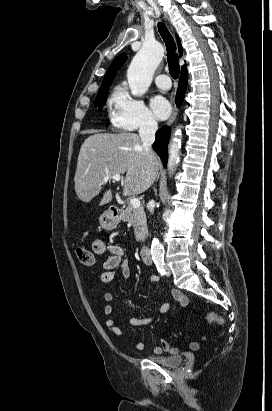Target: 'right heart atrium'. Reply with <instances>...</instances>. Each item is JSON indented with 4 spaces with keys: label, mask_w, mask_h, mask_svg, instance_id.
I'll use <instances>...</instances> for the list:
<instances>
[{
    "label": "right heart atrium",
    "mask_w": 272,
    "mask_h": 411,
    "mask_svg": "<svg viewBox=\"0 0 272 411\" xmlns=\"http://www.w3.org/2000/svg\"><path fill=\"white\" fill-rule=\"evenodd\" d=\"M109 120L112 126L122 131L153 129L157 122L142 100L134 97L126 85L114 88L109 100Z\"/></svg>",
    "instance_id": "right-heart-atrium-1"
}]
</instances>
